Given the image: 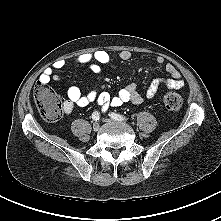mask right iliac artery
<instances>
[{
	"instance_id": "obj_1",
	"label": "right iliac artery",
	"mask_w": 221,
	"mask_h": 221,
	"mask_svg": "<svg viewBox=\"0 0 221 221\" xmlns=\"http://www.w3.org/2000/svg\"><path fill=\"white\" fill-rule=\"evenodd\" d=\"M92 119L95 120V121H98L100 119L99 112H97V111L93 112Z\"/></svg>"
}]
</instances>
